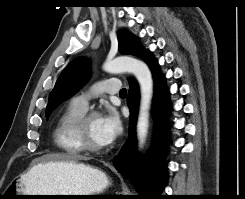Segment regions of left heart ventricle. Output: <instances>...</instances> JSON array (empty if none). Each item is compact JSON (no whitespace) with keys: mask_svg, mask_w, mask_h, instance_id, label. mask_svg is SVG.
Returning a JSON list of instances; mask_svg holds the SVG:
<instances>
[{"mask_svg":"<svg viewBox=\"0 0 245 199\" xmlns=\"http://www.w3.org/2000/svg\"><path fill=\"white\" fill-rule=\"evenodd\" d=\"M98 119H99L98 116L93 117L87 122L86 124L87 139L94 145L105 146L106 143L102 138Z\"/></svg>","mask_w":245,"mask_h":199,"instance_id":"obj_1","label":"left heart ventricle"}]
</instances>
